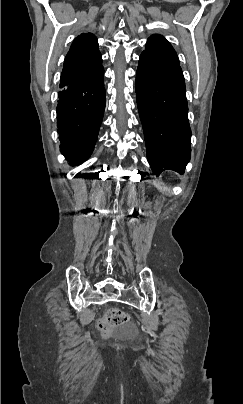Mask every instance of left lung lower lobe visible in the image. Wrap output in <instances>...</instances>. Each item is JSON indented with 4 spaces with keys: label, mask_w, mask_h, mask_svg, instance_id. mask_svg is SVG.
I'll return each mask as SVG.
<instances>
[{
    "label": "left lung lower lobe",
    "mask_w": 243,
    "mask_h": 404,
    "mask_svg": "<svg viewBox=\"0 0 243 404\" xmlns=\"http://www.w3.org/2000/svg\"><path fill=\"white\" fill-rule=\"evenodd\" d=\"M136 99L152 171L184 173L191 156V129L181 67L142 53Z\"/></svg>",
    "instance_id": "1"
}]
</instances>
